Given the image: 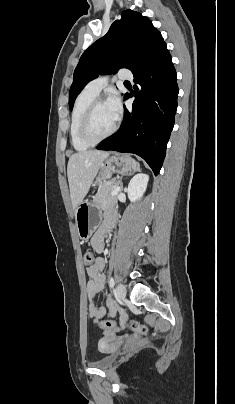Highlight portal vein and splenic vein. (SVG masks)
I'll return each mask as SVG.
<instances>
[{"mask_svg":"<svg viewBox=\"0 0 235 404\" xmlns=\"http://www.w3.org/2000/svg\"><path fill=\"white\" fill-rule=\"evenodd\" d=\"M120 191V187H117V188H115L113 191H112V195H116L118 192Z\"/></svg>","mask_w":235,"mask_h":404,"instance_id":"18ae733b","label":"portal vein and splenic vein"}]
</instances>
